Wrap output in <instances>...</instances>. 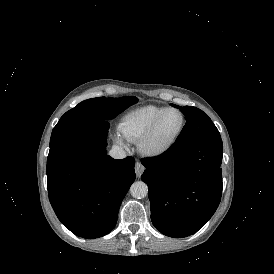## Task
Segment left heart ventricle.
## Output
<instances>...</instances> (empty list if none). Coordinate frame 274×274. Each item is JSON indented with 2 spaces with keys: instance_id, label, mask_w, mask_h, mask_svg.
Here are the masks:
<instances>
[{
  "instance_id": "b2bd125f",
  "label": "left heart ventricle",
  "mask_w": 274,
  "mask_h": 274,
  "mask_svg": "<svg viewBox=\"0 0 274 274\" xmlns=\"http://www.w3.org/2000/svg\"><path fill=\"white\" fill-rule=\"evenodd\" d=\"M182 124V116L177 111H171L161 121L157 131L148 141V147L152 150L164 148L179 131Z\"/></svg>"
}]
</instances>
